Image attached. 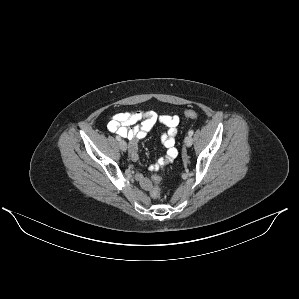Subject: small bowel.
Listing matches in <instances>:
<instances>
[{
	"label": "small bowel",
	"instance_id": "c3829d8e",
	"mask_svg": "<svg viewBox=\"0 0 299 299\" xmlns=\"http://www.w3.org/2000/svg\"><path fill=\"white\" fill-rule=\"evenodd\" d=\"M158 122L167 127L166 132L161 135L162 144L166 148L165 156L159 158L149 167L151 171H158L168 163L173 162L178 156V151L175 147V137L180 123L178 116L158 115L150 110L121 112L115 114L109 120L107 128L110 132L128 139L130 160L136 162L138 160V141L145 138L147 133ZM136 123L139 124L132 127V125ZM136 179L145 190L149 191L152 188L150 179L145 177L142 173L137 172Z\"/></svg>",
	"mask_w": 299,
	"mask_h": 299
}]
</instances>
